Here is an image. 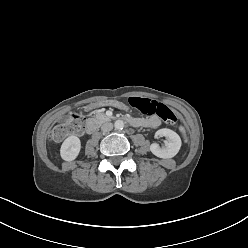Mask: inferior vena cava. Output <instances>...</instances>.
<instances>
[{"label":"inferior vena cava","instance_id":"inferior-vena-cava-1","mask_svg":"<svg viewBox=\"0 0 248 248\" xmlns=\"http://www.w3.org/2000/svg\"><path fill=\"white\" fill-rule=\"evenodd\" d=\"M113 129V124L110 123V122H107V123H104L102 126H101V130L103 132H109Z\"/></svg>","mask_w":248,"mask_h":248}]
</instances>
